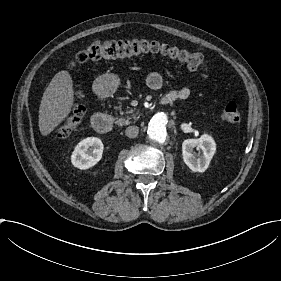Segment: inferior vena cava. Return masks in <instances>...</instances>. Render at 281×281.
I'll use <instances>...</instances> for the list:
<instances>
[{
  "label": "inferior vena cava",
  "mask_w": 281,
  "mask_h": 281,
  "mask_svg": "<svg viewBox=\"0 0 281 281\" xmlns=\"http://www.w3.org/2000/svg\"><path fill=\"white\" fill-rule=\"evenodd\" d=\"M138 133H139V128L137 126H129L125 130V134L129 138L137 137Z\"/></svg>",
  "instance_id": "obj_1"
}]
</instances>
